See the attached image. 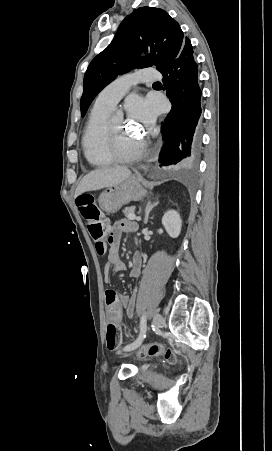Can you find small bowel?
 <instances>
[{
    "mask_svg": "<svg viewBox=\"0 0 272 451\" xmlns=\"http://www.w3.org/2000/svg\"><path fill=\"white\" fill-rule=\"evenodd\" d=\"M107 227L109 248L107 250V262L104 267V280L109 282L111 271L122 272L126 269L125 263L119 254L123 236L125 234H135L138 227L135 222L126 219H121L110 227L107 225ZM142 266L143 256L140 253L134 254L130 268L131 278H139ZM135 298V290L131 296L117 294L114 290H108L105 294L107 319H113L117 324H120L124 312L129 319H132L135 314Z\"/></svg>",
    "mask_w": 272,
    "mask_h": 451,
    "instance_id": "1",
    "label": "small bowel"
}]
</instances>
